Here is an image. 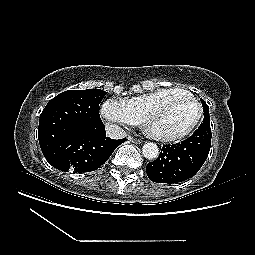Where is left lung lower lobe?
<instances>
[{
    "label": "left lung lower lobe",
    "mask_w": 255,
    "mask_h": 255,
    "mask_svg": "<svg viewBox=\"0 0 255 255\" xmlns=\"http://www.w3.org/2000/svg\"><path fill=\"white\" fill-rule=\"evenodd\" d=\"M210 116L186 140L163 145L159 157L147 164L149 179L158 183H178L193 177L204 164L211 146Z\"/></svg>",
    "instance_id": "left-lung-lower-lobe-1"
}]
</instances>
